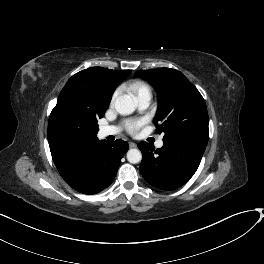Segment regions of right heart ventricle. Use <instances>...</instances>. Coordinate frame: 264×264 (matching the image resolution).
Returning a JSON list of instances; mask_svg holds the SVG:
<instances>
[{
    "label": "right heart ventricle",
    "instance_id": "1",
    "mask_svg": "<svg viewBox=\"0 0 264 264\" xmlns=\"http://www.w3.org/2000/svg\"><path fill=\"white\" fill-rule=\"evenodd\" d=\"M128 87H129V89H131L135 93L136 97H138L142 94H150L151 95L150 87L142 81H135L133 83H130L128 85Z\"/></svg>",
    "mask_w": 264,
    "mask_h": 264
}]
</instances>
